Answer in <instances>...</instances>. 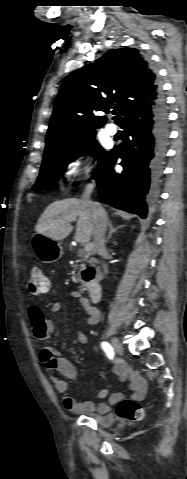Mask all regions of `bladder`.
<instances>
[{"instance_id": "1", "label": "bladder", "mask_w": 187, "mask_h": 479, "mask_svg": "<svg viewBox=\"0 0 187 479\" xmlns=\"http://www.w3.org/2000/svg\"><path fill=\"white\" fill-rule=\"evenodd\" d=\"M85 416L91 418L97 424H99L100 426H103V427H109L114 422V420L112 418H110L109 416H106V415L91 413V414H85Z\"/></svg>"}]
</instances>
